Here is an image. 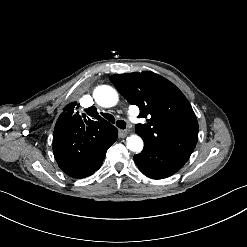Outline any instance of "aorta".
<instances>
[{
	"mask_svg": "<svg viewBox=\"0 0 247 247\" xmlns=\"http://www.w3.org/2000/svg\"><path fill=\"white\" fill-rule=\"evenodd\" d=\"M94 99L96 103L102 107H113L118 102V94L114 88L108 85L98 86L94 91ZM127 148L135 153L143 150V140L136 134L127 137Z\"/></svg>",
	"mask_w": 247,
	"mask_h": 247,
	"instance_id": "762f6f07",
	"label": "aorta"
}]
</instances>
